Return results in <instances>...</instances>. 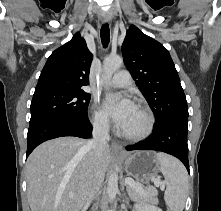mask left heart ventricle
Segmentation results:
<instances>
[{
    "label": "left heart ventricle",
    "instance_id": "1",
    "mask_svg": "<svg viewBox=\"0 0 221 211\" xmlns=\"http://www.w3.org/2000/svg\"><path fill=\"white\" fill-rule=\"evenodd\" d=\"M145 126H146L145 114L139 108L134 106L125 125L122 128V131L128 134H138L144 130Z\"/></svg>",
    "mask_w": 221,
    "mask_h": 211
}]
</instances>
